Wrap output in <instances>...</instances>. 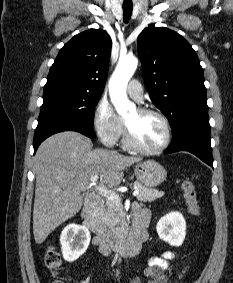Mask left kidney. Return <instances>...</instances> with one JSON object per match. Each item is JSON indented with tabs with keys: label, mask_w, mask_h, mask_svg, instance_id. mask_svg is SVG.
I'll return each mask as SVG.
<instances>
[{
	"label": "left kidney",
	"mask_w": 233,
	"mask_h": 283,
	"mask_svg": "<svg viewBox=\"0 0 233 283\" xmlns=\"http://www.w3.org/2000/svg\"><path fill=\"white\" fill-rule=\"evenodd\" d=\"M157 233L171 246H181L186 236V222L179 212H171L163 216L157 223Z\"/></svg>",
	"instance_id": "5707ae66"
}]
</instances>
